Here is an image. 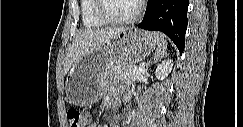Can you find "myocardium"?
Returning <instances> with one entry per match:
<instances>
[{"label":"myocardium","instance_id":"obj_1","mask_svg":"<svg viewBox=\"0 0 243 127\" xmlns=\"http://www.w3.org/2000/svg\"><path fill=\"white\" fill-rule=\"evenodd\" d=\"M103 1L104 0H96V12L99 18L107 24L122 25L133 23L138 20L143 11V2L141 0H136V8L132 15L125 18H114L105 11Z\"/></svg>","mask_w":243,"mask_h":127}]
</instances>
